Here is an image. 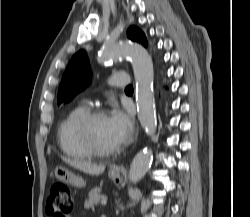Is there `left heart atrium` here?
<instances>
[{"instance_id": "obj_1", "label": "left heart atrium", "mask_w": 250, "mask_h": 217, "mask_svg": "<svg viewBox=\"0 0 250 217\" xmlns=\"http://www.w3.org/2000/svg\"><path fill=\"white\" fill-rule=\"evenodd\" d=\"M107 120L118 144L125 143L130 138L133 130L131 116L115 107L107 116Z\"/></svg>"}]
</instances>
